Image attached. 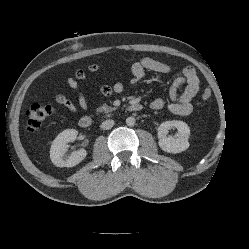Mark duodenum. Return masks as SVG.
Masks as SVG:
<instances>
[{
  "label": "duodenum",
  "mask_w": 249,
  "mask_h": 249,
  "mask_svg": "<svg viewBox=\"0 0 249 249\" xmlns=\"http://www.w3.org/2000/svg\"><path fill=\"white\" fill-rule=\"evenodd\" d=\"M143 109L142 104L133 103L127 107L128 112H139ZM92 118L90 116H83L79 119V126L83 129L90 128L92 126Z\"/></svg>",
  "instance_id": "obj_1"
}]
</instances>
